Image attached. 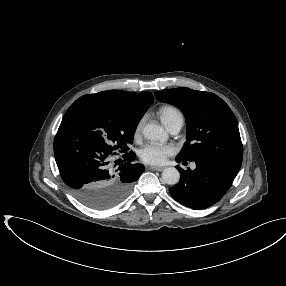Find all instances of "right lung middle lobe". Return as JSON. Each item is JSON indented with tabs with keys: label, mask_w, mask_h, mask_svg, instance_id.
Masks as SVG:
<instances>
[{
	"label": "right lung middle lobe",
	"mask_w": 286,
	"mask_h": 286,
	"mask_svg": "<svg viewBox=\"0 0 286 286\" xmlns=\"http://www.w3.org/2000/svg\"><path fill=\"white\" fill-rule=\"evenodd\" d=\"M144 112L132 110L106 98L84 95L66 111L62 123L82 139L112 155L126 151Z\"/></svg>",
	"instance_id": "dd1d6c3e"
}]
</instances>
